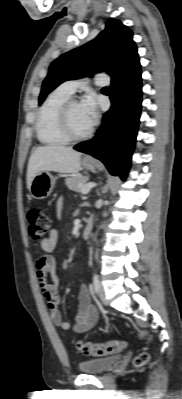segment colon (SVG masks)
I'll list each match as a JSON object with an SVG mask.
<instances>
[{"mask_svg": "<svg viewBox=\"0 0 182 399\" xmlns=\"http://www.w3.org/2000/svg\"><path fill=\"white\" fill-rule=\"evenodd\" d=\"M27 220L29 224V234L34 240H42L48 233L50 228L49 216L40 208L33 207L29 209L27 214ZM139 336L146 340L151 341L152 337L150 333L145 330L139 332ZM127 347V343L124 340L116 339L107 342H84L80 341L77 343L78 350L89 356H107L117 354L123 351ZM149 360V355L146 352H142L136 356L134 363L136 366H142Z\"/></svg>", "mask_w": 182, "mask_h": 399, "instance_id": "colon-1", "label": "colon"}]
</instances>
